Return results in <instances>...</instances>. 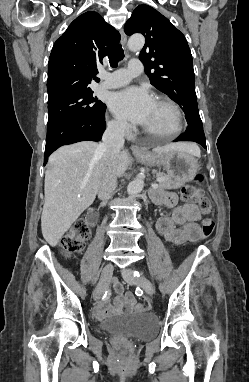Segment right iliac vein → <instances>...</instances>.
Listing matches in <instances>:
<instances>
[{
  "label": "right iliac vein",
  "instance_id": "obj_1",
  "mask_svg": "<svg viewBox=\"0 0 249 382\" xmlns=\"http://www.w3.org/2000/svg\"><path fill=\"white\" fill-rule=\"evenodd\" d=\"M112 274H113V265L111 263H108L103 268L99 283L94 290V293H93L94 300L97 301L100 298V296L104 293V291L106 290L107 283L110 280Z\"/></svg>",
  "mask_w": 249,
  "mask_h": 382
}]
</instances>
